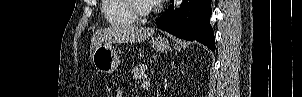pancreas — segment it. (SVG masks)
I'll use <instances>...</instances> for the list:
<instances>
[{
	"label": "pancreas",
	"instance_id": "cf45deb5",
	"mask_svg": "<svg viewBox=\"0 0 302 97\" xmlns=\"http://www.w3.org/2000/svg\"><path fill=\"white\" fill-rule=\"evenodd\" d=\"M147 70V66L146 65H138L136 67L133 68V79L141 81L143 79H145L146 77V72Z\"/></svg>",
	"mask_w": 302,
	"mask_h": 97
}]
</instances>
